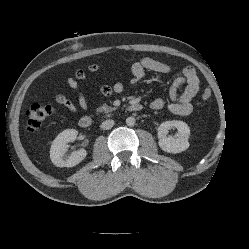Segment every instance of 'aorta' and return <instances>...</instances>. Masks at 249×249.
<instances>
[{
    "mask_svg": "<svg viewBox=\"0 0 249 249\" xmlns=\"http://www.w3.org/2000/svg\"><path fill=\"white\" fill-rule=\"evenodd\" d=\"M126 124H127L128 126H134V124H135V118H134V117H128V118L126 119Z\"/></svg>",
    "mask_w": 249,
    "mask_h": 249,
    "instance_id": "aorta-1",
    "label": "aorta"
}]
</instances>
